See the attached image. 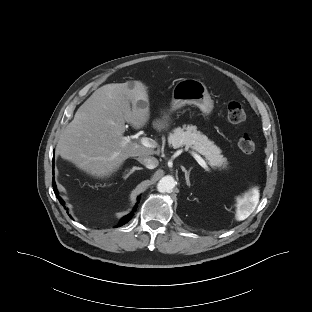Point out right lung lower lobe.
<instances>
[{
	"label": "right lung lower lobe",
	"mask_w": 312,
	"mask_h": 312,
	"mask_svg": "<svg viewBox=\"0 0 312 312\" xmlns=\"http://www.w3.org/2000/svg\"><path fill=\"white\" fill-rule=\"evenodd\" d=\"M53 169H54V162H53ZM52 185L54 187V192L56 194V197L58 198L59 202L64 206V208L66 209L65 207V203L64 201L61 199V197L58 195V191L56 189V184H55V181H54V178H53V182H52ZM138 201H139V198H138ZM136 208V206H135ZM135 208L133 210V212H131L130 214L126 215L125 217H123L120 221V223L118 224V226H122L123 224L127 223L131 218L132 216L134 215V211H135Z\"/></svg>",
	"instance_id": "98d812e1"
}]
</instances>
